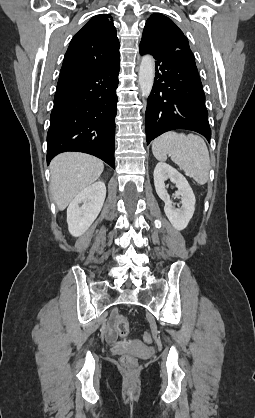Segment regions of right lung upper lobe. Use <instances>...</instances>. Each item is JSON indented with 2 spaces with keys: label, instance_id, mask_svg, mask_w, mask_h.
Returning <instances> with one entry per match:
<instances>
[{
  "label": "right lung upper lobe",
  "instance_id": "right-lung-upper-lobe-1",
  "mask_svg": "<svg viewBox=\"0 0 255 418\" xmlns=\"http://www.w3.org/2000/svg\"><path fill=\"white\" fill-rule=\"evenodd\" d=\"M119 60V41L113 20L110 15H96L72 38L60 75L110 65Z\"/></svg>",
  "mask_w": 255,
  "mask_h": 418
}]
</instances>
